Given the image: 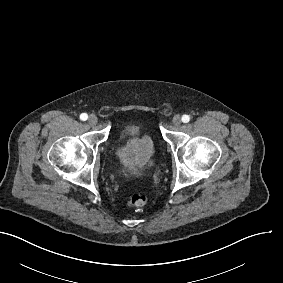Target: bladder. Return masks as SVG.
Listing matches in <instances>:
<instances>
[{
    "instance_id": "bladder-1",
    "label": "bladder",
    "mask_w": 283,
    "mask_h": 283,
    "mask_svg": "<svg viewBox=\"0 0 283 283\" xmlns=\"http://www.w3.org/2000/svg\"><path fill=\"white\" fill-rule=\"evenodd\" d=\"M143 127L140 124H129L121 129L114 140L115 145H121L123 141L129 138H138L142 134Z\"/></svg>"
}]
</instances>
